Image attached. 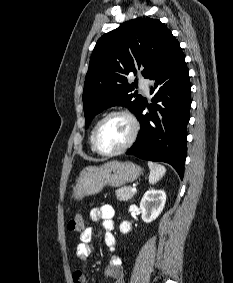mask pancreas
<instances>
[{
  "mask_svg": "<svg viewBox=\"0 0 233 283\" xmlns=\"http://www.w3.org/2000/svg\"><path fill=\"white\" fill-rule=\"evenodd\" d=\"M115 194L120 201H128L135 195V193L131 191L130 186L117 189Z\"/></svg>",
  "mask_w": 233,
  "mask_h": 283,
  "instance_id": "obj_1",
  "label": "pancreas"
}]
</instances>
